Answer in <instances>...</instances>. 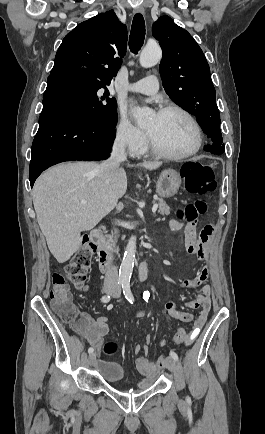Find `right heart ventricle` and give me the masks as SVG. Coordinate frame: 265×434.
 Returning <instances> with one entry per match:
<instances>
[{"label": "right heart ventricle", "instance_id": "obj_1", "mask_svg": "<svg viewBox=\"0 0 265 434\" xmlns=\"http://www.w3.org/2000/svg\"><path fill=\"white\" fill-rule=\"evenodd\" d=\"M145 153V151H141V153L140 154H137V155H142V154H144Z\"/></svg>", "mask_w": 265, "mask_h": 434}]
</instances>
